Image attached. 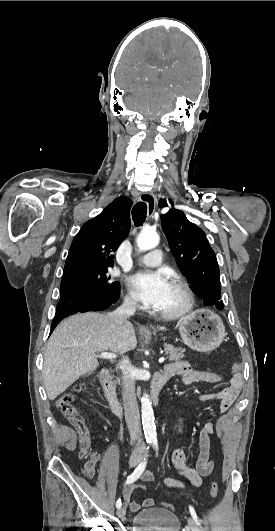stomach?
<instances>
[{
    "instance_id": "0dacf381",
    "label": "stomach",
    "mask_w": 275,
    "mask_h": 531,
    "mask_svg": "<svg viewBox=\"0 0 275 531\" xmlns=\"http://www.w3.org/2000/svg\"><path fill=\"white\" fill-rule=\"evenodd\" d=\"M178 331L185 345L199 353L214 351L225 337L220 317L209 309H197L183 317L178 323Z\"/></svg>"
}]
</instances>
